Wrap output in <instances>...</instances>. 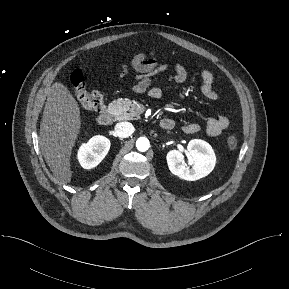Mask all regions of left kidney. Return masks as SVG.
<instances>
[{"mask_svg": "<svg viewBox=\"0 0 289 289\" xmlns=\"http://www.w3.org/2000/svg\"><path fill=\"white\" fill-rule=\"evenodd\" d=\"M191 166L184 164V155L171 150L166 159L172 174L187 181H195L210 174L215 167L216 157L212 147L205 141L193 139L187 145Z\"/></svg>", "mask_w": 289, "mask_h": 289, "instance_id": "left-kidney-1", "label": "left kidney"}]
</instances>
